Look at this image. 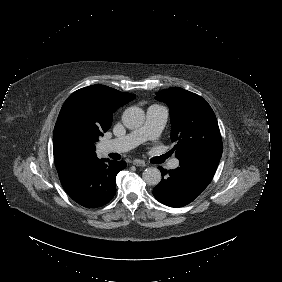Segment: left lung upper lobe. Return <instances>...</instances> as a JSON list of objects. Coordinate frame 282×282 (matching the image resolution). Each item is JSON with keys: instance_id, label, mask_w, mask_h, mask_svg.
I'll return each instance as SVG.
<instances>
[{"instance_id": "left-lung-upper-lobe-1", "label": "left lung upper lobe", "mask_w": 282, "mask_h": 282, "mask_svg": "<svg viewBox=\"0 0 282 282\" xmlns=\"http://www.w3.org/2000/svg\"><path fill=\"white\" fill-rule=\"evenodd\" d=\"M157 100L170 108L172 149L180 160L207 155L221 158L222 139L216 116L210 105L199 95L179 87L156 94Z\"/></svg>"}]
</instances>
